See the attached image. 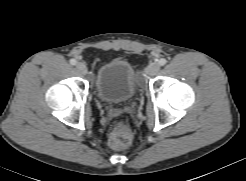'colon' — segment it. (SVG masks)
<instances>
[{
  "instance_id": "1",
  "label": "colon",
  "mask_w": 246,
  "mask_h": 181,
  "mask_svg": "<svg viewBox=\"0 0 246 181\" xmlns=\"http://www.w3.org/2000/svg\"><path fill=\"white\" fill-rule=\"evenodd\" d=\"M132 137L131 128L125 123H118L109 135V147L114 150L123 149L130 144Z\"/></svg>"
}]
</instances>
